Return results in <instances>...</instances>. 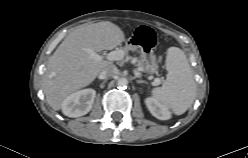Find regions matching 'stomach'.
Masks as SVG:
<instances>
[{
  "mask_svg": "<svg viewBox=\"0 0 248 158\" xmlns=\"http://www.w3.org/2000/svg\"><path fill=\"white\" fill-rule=\"evenodd\" d=\"M141 61L144 65V71L150 74L156 73L158 70V64L156 57L152 51L149 53L141 51Z\"/></svg>",
  "mask_w": 248,
  "mask_h": 158,
  "instance_id": "1",
  "label": "stomach"
}]
</instances>
